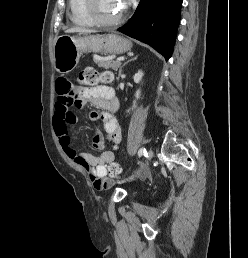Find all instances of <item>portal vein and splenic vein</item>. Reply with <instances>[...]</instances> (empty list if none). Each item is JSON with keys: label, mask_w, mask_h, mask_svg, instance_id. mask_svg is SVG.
Segmentation results:
<instances>
[{"label": "portal vein and splenic vein", "mask_w": 248, "mask_h": 258, "mask_svg": "<svg viewBox=\"0 0 248 258\" xmlns=\"http://www.w3.org/2000/svg\"><path fill=\"white\" fill-rule=\"evenodd\" d=\"M124 59H125V57L122 56V57L117 58L116 61H123Z\"/></svg>", "instance_id": "18ae733b"}]
</instances>
